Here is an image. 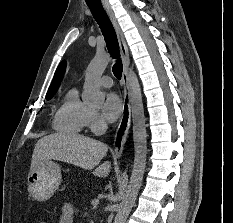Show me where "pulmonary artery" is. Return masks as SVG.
<instances>
[{"mask_svg": "<svg viewBox=\"0 0 233 223\" xmlns=\"http://www.w3.org/2000/svg\"><path fill=\"white\" fill-rule=\"evenodd\" d=\"M101 84L104 86V87H110L111 84H112V79L109 77V76H103L101 78Z\"/></svg>", "mask_w": 233, "mask_h": 223, "instance_id": "e3ab8cb5", "label": "pulmonary artery"}]
</instances>
